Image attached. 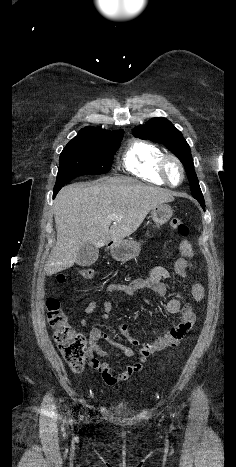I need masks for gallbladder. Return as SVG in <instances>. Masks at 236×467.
Instances as JSON below:
<instances>
[{"mask_svg":"<svg viewBox=\"0 0 236 467\" xmlns=\"http://www.w3.org/2000/svg\"><path fill=\"white\" fill-rule=\"evenodd\" d=\"M99 256V249L92 243H85L77 254L76 264L79 266L93 265Z\"/></svg>","mask_w":236,"mask_h":467,"instance_id":"1","label":"gallbladder"}]
</instances>
